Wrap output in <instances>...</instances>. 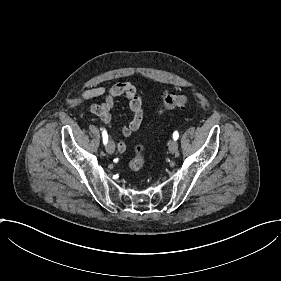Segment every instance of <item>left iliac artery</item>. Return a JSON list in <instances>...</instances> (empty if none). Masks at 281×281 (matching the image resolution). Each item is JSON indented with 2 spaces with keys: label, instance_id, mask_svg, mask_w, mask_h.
Masks as SVG:
<instances>
[{
  "label": "left iliac artery",
  "instance_id": "1",
  "mask_svg": "<svg viewBox=\"0 0 281 281\" xmlns=\"http://www.w3.org/2000/svg\"><path fill=\"white\" fill-rule=\"evenodd\" d=\"M178 137H179V134H178L177 131H175V132L173 133V139L176 141V140L178 139Z\"/></svg>",
  "mask_w": 281,
  "mask_h": 281
}]
</instances>
